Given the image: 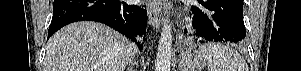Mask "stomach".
Returning a JSON list of instances; mask_svg holds the SVG:
<instances>
[{
  "mask_svg": "<svg viewBox=\"0 0 301 71\" xmlns=\"http://www.w3.org/2000/svg\"><path fill=\"white\" fill-rule=\"evenodd\" d=\"M206 60L199 52H185L181 54L179 62L180 71H202Z\"/></svg>",
  "mask_w": 301,
  "mask_h": 71,
  "instance_id": "1",
  "label": "stomach"
}]
</instances>
